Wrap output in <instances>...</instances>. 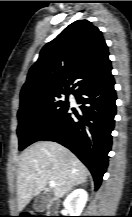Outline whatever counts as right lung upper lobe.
<instances>
[{"label":"right lung upper lobe","mask_w":132,"mask_h":217,"mask_svg":"<svg viewBox=\"0 0 132 217\" xmlns=\"http://www.w3.org/2000/svg\"><path fill=\"white\" fill-rule=\"evenodd\" d=\"M108 55L101 31L87 20H77L42 48L20 96L75 93L101 84L112 77Z\"/></svg>","instance_id":"cb5924a9"}]
</instances>
